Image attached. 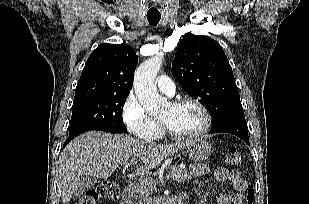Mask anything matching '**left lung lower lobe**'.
<instances>
[{
    "mask_svg": "<svg viewBox=\"0 0 309 204\" xmlns=\"http://www.w3.org/2000/svg\"><path fill=\"white\" fill-rule=\"evenodd\" d=\"M220 132L234 134L240 137L242 140L246 142V144L250 146L247 124L244 114L228 117L223 121H221L220 123H218L216 126H213L212 130L210 131V133H220Z\"/></svg>",
    "mask_w": 309,
    "mask_h": 204,
    "instance_id": "obj_1",
    "label": "left lung lower lobe"
}]
</instances>
